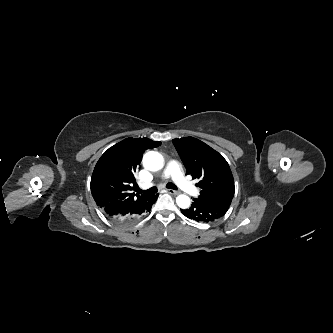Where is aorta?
<instances>
[{
	"mask_svg": "<svg viewBox=\"0 0 333 333\" xmlns=\"http://www.w3.org/2000/svg\"><path fill=\"white\" fill-rule=\"evenodd\" d=\"M143 164L148 170L158 171L163 167L164 160L160 153L149 151L143 157ZM176 203L180 208L186 209L190 206V198L187 195H179L176 198Z\"/></svg>",
	"mask_w": 333,
	"mask_h": 333,
	"instance_id": "obj_1",
	"label": "aorta"
}]
</instances>
